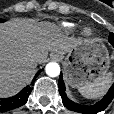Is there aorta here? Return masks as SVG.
Returning a JSON list of instances; mask_svg holds the SVG:
<instances>
[{"mask_svg":"<svg viewBox=\"0 0 114 114\" xmlns=\"http://www.w3.org/2000/svg\"><path fill=\"white\" fill-rule=\"evenodd\" d=\"M46 74L50 77H57L60 74V66L56 62H50L45 67Z\"/></svg>","mask_w":114,"mask_h":114,"instance_id":"aorta-1","label":"aorta"}]
</instances>
